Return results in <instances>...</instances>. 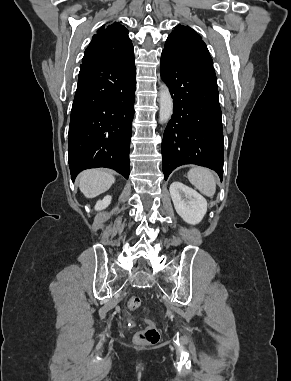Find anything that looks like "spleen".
Segmentation results:
<instances>
[{"mask_svg":"<svg viewBox=\"0 0 291 381\" xmlns=\"http://www.w3.org/2000/svg\"><path fill=\"white\" fill-rule=\"evenodd\" d=\"M188 179L200 192L208 197H213L216 192L215 177L207 168L194 167L188 171Z\"/></svg>","mask_w":291,"mask_h":381,"instance_id":"3e777b00","label":"spleen"}]
</instances>
